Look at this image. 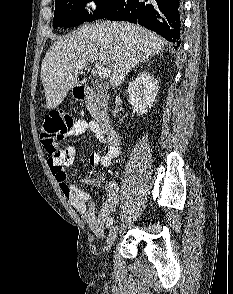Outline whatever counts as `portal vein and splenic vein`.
<instances>
[{"label":"portal vein and splenic vein","mask_w":233,"mask_h":294,"mask_svg":"<svg viewBox=\"0 0 233 294\" xmlns=\"http://www.w3.org/2000/svg\"><path fill=\"white\" fill-rule=\"evenodd\" d=\"M88 64L89 63L87 61H81L76 65V70L83 69ZM94 66L100 78L105 79L110 75V69L105 68L101 63H95Z\"/></svg>","instance_id":"portal-vein-and-splenic-vein-1"}]
</instances>
